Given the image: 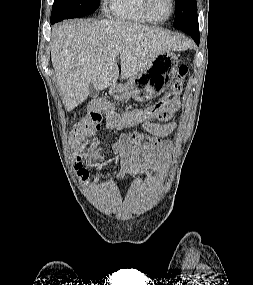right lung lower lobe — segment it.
<instances>
[{"label": "right lung lower lobe", "instance_id": "1", "mask_svg": "<svg viewBox=\"0 0 253 285\" xmlns=\"http://www.w3.org/2000/svg\"><path fill=\"white\" fill-rule=\"evenodd\" d=\"M55 22H58L57 20H54V19H51V23H55Z\"/></svg>", "mask_w": 253, "mask_h": 285}]
</instances>
